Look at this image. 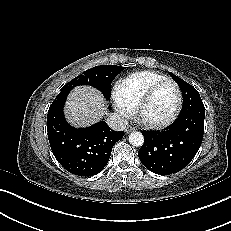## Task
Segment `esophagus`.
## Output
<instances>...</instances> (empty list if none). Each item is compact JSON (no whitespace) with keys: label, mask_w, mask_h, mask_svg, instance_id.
I'll use <instances>...</instances> for the list:
<instances>
[{"label":"esophagus","mask_w":231,"mask_h":231,"mask_svg":"<svg viewBox=\"0 0 231 231\" xmlns=\"http://www.w3.org/2000/svg\"><path fill=\"white\" fill-rule=\"evenodd\" d=\"M133 130H135V127H134V126H131V125H128V126L126 127V129H125V132H126V133H129V132H131V131H133Z\"/></svg>","instance_id":"34e87169"}]
</instances>
